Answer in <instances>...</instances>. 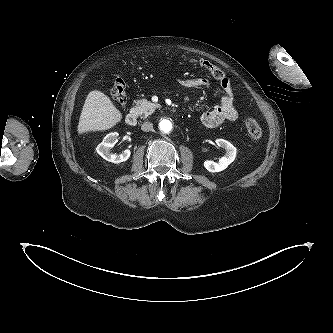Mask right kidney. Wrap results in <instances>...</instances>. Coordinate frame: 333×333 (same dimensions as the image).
I'll return each instance as SVG.
<instances>
[{
    "label": "right kidney",
    "mask_w": 333,
    "mask_h": 333,
    "mask_svg": "<svg viewBox=\"0 0 333 333\" xmlns=\"http://www.w3.org/2000/svg\"><path fill=\"white\" fill-rule=\"evenodd\" d=\"M119 134L117 132L107 134L103 141L97 146V153L105 160L118 164L128 160L131 155V151L126 149L120 155L111 154L109 149L112 148L118 141Z\"/></svg>",
    "instance_id": "obj_1"
}]
</instances>
